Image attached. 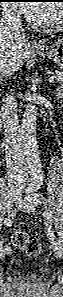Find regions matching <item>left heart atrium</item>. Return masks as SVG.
<instances>
[{
  "instance_id": "1",
  "label": "left heart atrium",
  "mask_w": 63,
  "mask_h": 297,
  "mask_svg": "<svg viewBox=\"0 0 63 297\" xmlns=\"http://www.w3.org/2000/svg\"><path fill=\"white\" fill-rule=\"evenodd\" d=\"M19 9L33 21H38L42 14L40 8L32 4H21Z\"/></svg>"
}]
</instances>
